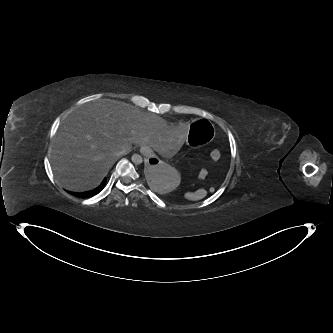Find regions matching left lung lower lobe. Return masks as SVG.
<instances>
[{"mask_svg": "<svg viewBox=\"0 0 333 333\" xmlns=\"http://www.w3.org/2000/svg\"><path fill=\"white\" fill-rule=\"evenodd\" d=\"M145 174L148 177L153 178L155 175V168L153 166H147V168L145 169Z\"/></svg>", "mask_w": 333, "mask_h": 333, "instance_id": "obj_1", "label": "left lung lower lobe"}]
</instances>
